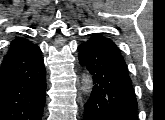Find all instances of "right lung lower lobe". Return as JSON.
I'll return each instance as SVG.
<instances>
[{"mask_svg": "<svg viewBox=\"0 0 165 120\" xmlns=\"http://www.w3.org/2000/svg\"><path fill=\"white\" fill-rule=\"evenodd\" d=\"M45 90L46 69L40 48L16 38L0 67V120H41Z\"/></svg>", "mask_w": 165, "mask_h": 120, "instance_id": "right-lung-lower-lobe-1", "label": "right lung lower lobe"}]
</instances>
